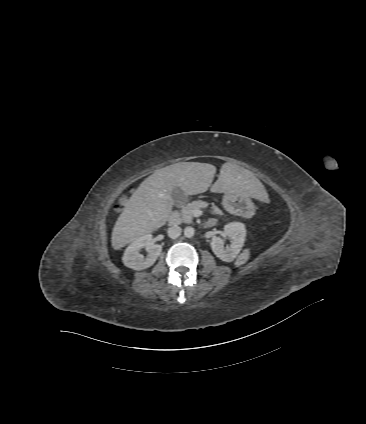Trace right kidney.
I'll list each match as a JSON object with an SVG mask.
<instances>
[{
  "mask_svg": "<svg viewBox=\"0 0 366 424\" xmlns=\"http://www.w3.org/2000/svg\"><path fill=\"white\" fill-rule=\"evenodd\" d=\"M149 254L145 258L140 254L141 249ZM162 252V246L154 244L152 235L146 234L135 239L125 250L122 260L126 267L134 270H143L151 267Z\"/></svg>",
  "mask_w": 366,
  "mask_h": 424,
  "instance_id": "obj_1",
  "label": "right kidney"
}]
</instances>
